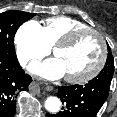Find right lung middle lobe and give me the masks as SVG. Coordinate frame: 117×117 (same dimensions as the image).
Wrapping results in <instances>:
<instances>
[{
	"instance_id": "dd1d6c3e",
	"label": "right lung middle lobe",
	"mask_w": 117,
	"mask_h": 117,
	"mask_svg": "<svg viewBox=\"0 0 117 117\" xmlns=\"http://www.w3.org/2000/svg\"><path fill=\"white\" fill-rule=\"evenodd\" d=\"M35 13L6 11L0 13V62H17L14 49V36L17 29Z\"/></svg>"
}]
</instances>
